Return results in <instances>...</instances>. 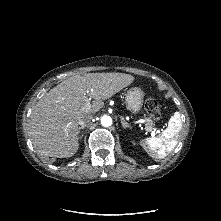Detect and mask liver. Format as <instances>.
Here are the masks:
<instances>
[{"label": "liver", "mask_w": 221, "mask_h": 221, "mask_svg": "<svg viewBox=\"0 0 221 221\" xmlns=\"http://www.w3.org/2000/svg\"><path fill=\"white\" fill-rule=\"evenodd\" d=\"M134 77L124 73H87L75 75L47 92L36 104L29 130L37 151L50 157L73 156L78 148V121L94 114L109 99L129 86ZM94 99L90 110H84L85 97Z\"/></svg>", "instance_id": "obj_1"}]
</instances>
